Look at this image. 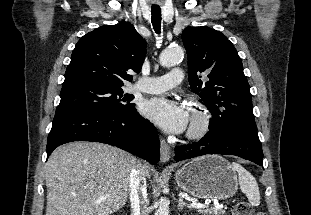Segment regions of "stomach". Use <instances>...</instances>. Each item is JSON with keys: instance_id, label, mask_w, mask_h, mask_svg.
<instances>
[{"instance_id": "obj_1", "label": "stomach", "mask_w": 311, "mask_h": 215, "mask_svg": "<svg viewBox=\"0 0 311 215\" xmlns=\"http://www.w3.org/2000/svg\"><path fill=\"white\" fill-rule=\"evenodd\" d=\"M175 180L182 190L199 199H228L238 189L236 171L219 155L191 160L177 170Z\"/></svg>"}]
</instances>
